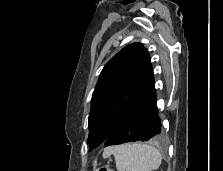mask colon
I'll return each instance as SVG.
<instances>
[{"label":"colon","instance_id":"obj_1","mask_svg":"<svg viewBox=\"0 0 223 171\" xmlns=\"http://www.w3.org/2000/svg\"><path fill=\"white\" fill-rule=\"evenodd\" d=\"M97 171H112V170L107 167H101Z\"/></svg>","mask_w":223,"mask_h":171}]
</instances>
